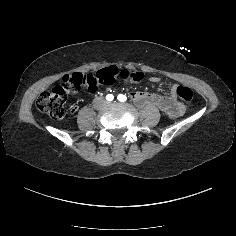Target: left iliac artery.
Segmentation results:
<instances>
[{"label": "left iliac artery", "instance_id": "left-iliac-artery-1", "mask_svg": "<svg viewBox=\"0 0 236 236\" xmlns=\"http://www.w3.org/2000/svg\"><path fill=\"white\" fill-rule=\"evenodd\" d=\"M117 99L120 101V102H124L127 100V97L123 94H119Z\"/></svg>", "mask_w": 236, "mask_h": 236}]
</instances>
